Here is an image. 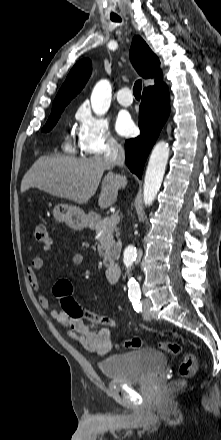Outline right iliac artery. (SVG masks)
Here are the masks:
<instances>
[{
  "label": "right iliac artery",
  "instance_id": "obj_1",
  "mask_svg": "<svg viewBox=\"0 0 221 440\" xmlns=\"http://www.w3.org/2000/svg\"><path fill=\"white\" fill-rule=\"evenodd\" d=\"M130 300H131V302L133 304V307H134L135 311H137V312L142 311V305L140 303V297H133V298H130Z\"/></svg>",
  "mask_w": 221,
  "mask_h": 440
}]
</instances>
